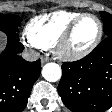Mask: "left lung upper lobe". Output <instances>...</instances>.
Masks as SVG:
<instances>
[{
	"mask_svg": "<svg viewBox=\"0 0 112 112\" xmlns=\"http://www.w3.org/2000/svg\"><path fill=\"white\" fill-rule=\"evenodd\" d=\"M102 21L104 23L103 30L106 36H112V15L107 12H100Z\"/></svg>",
	"mask_w": 112,
	"mask_h": 112,
	"instance_id": "obj_1",
	"label": "left lung upper lobe"
}]
</instances>
